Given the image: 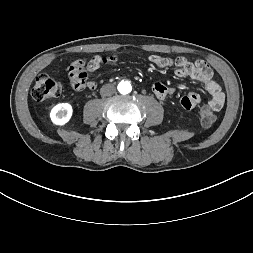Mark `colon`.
<instances>
[{"instance_id": "obj_1", "label": "colon", "mask_w": 253, "mask_h": 253, "mask_svg": "<svg viewBox=\"0 0 253 253\" xmlns=\"http://www.w3.org/2000/svg\"><path fill=\"white\" fill-rule=\"evenodd\" d=\"M116 56H94L88 63V69L94 70L102 64L114 62ZM68 89L72 93H80L96 89L99 86V81L96 78H87L85 64L81 60H74L69 67ZM61 92V84L55 78L41 74L39 75L32 87L31 95L36 101H45L49 98L56 97ZM199 120L204 128L211 127L216 121V115L212 108L208 105H203L199 111Z\"/></svg>"}]
</instances>
